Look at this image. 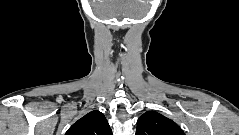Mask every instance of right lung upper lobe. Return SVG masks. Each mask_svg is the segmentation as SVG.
I'll return each mask as SVG.
<instances>
[{
  "instance_id": "right-lung-upper-lobe-1",
  "label": "right lung upper lobe",
  "mask_w": 239,
  "mask_h": 135,
  "mask_svg": "<svg viewBox=\"0 0 239 135\" xmlns=\"http://www.w3.org/2000/svg\"><path fill=\"white\" fill-rule=\"evenodd\" d=\"M65 135H112V131L104 114L94 110L75 122Z\"/></svg>"
}]
</instances>
